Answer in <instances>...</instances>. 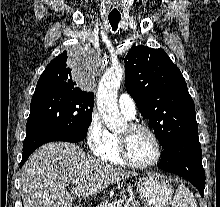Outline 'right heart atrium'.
Returning a JSON list of instances; mask_svg holds the SVG:
<instances>
[{"mask_svg": "<svg viewBox=\"0 0 220 207\" xmlns=\"http://www.w3.org/2000/svg\"><path fill=\"white\" fill-rule=\"evenodd\" d=\"M111 133L106 128L104 121L98 111L91 112L87 125L86 139L90 150L96 153L109 143Z\"/></svg>", "mask_w": 220, "mask_h": 207, "instance_id": "d8ad5b80", "label": "right heart atrium"}]
</instances>
